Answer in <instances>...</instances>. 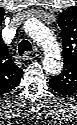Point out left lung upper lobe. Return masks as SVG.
Segmentation results:
<instances>
[{"mask_svg":"<svg viewBox=\"0 0 77 125\" xmlns=\"http://www.w3.org/2000/svg\"><path fill=\"white\" fill-rule=\"evenodd\" d=\"M62 39H63V53H64V70L58 75L52 77L51 81L55 83L59 90L63 91V79H66L68 73H71V62H75L77 53V15L74 7L68 8L59 15L58 20Z\"/></svg>","mask_w":77,"mask_h":125,"instance_id":"1","label":"left lung upper lobe"}]
</instances>
